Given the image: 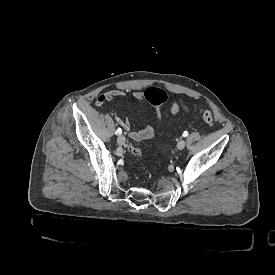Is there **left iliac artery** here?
Instances as JSON below:
<instances>
[{
    "label": "left iliac artery",
    "mask_w": 275,
    "mask_h": 275,
    "mask_svg": "<svg viewBox=\"0 0 275 275\" xmlns=\"http://www.w3.org/2000/svg\"><path fill=\"white\" fill-rule=\"evenodd\" d=\"M183 137H187L188 136V132L184 131V133L182 134Z\"/></svg>",
    "instance_id": "1"
}]
</instances>
